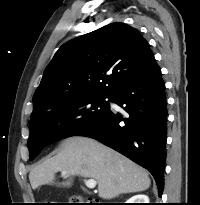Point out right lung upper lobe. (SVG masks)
Segmentation results:
<instances>
[{"mask_svg": "<svg viewBox=\"0 0 200 205\" xmlns=\"http://www.w3.org/2000/svg\"><path fill=\"white\" fill-rule=\"evenodd\" d=\"M155 62L137 29L115 22L62 45L34 96L31 118L74 97L112 96Z\"/></svg>", "mask_w": 200, "mask_h": 205, "instance_id": "cb5924a9", "label": "right lung upper lobe"}]
</instances>
